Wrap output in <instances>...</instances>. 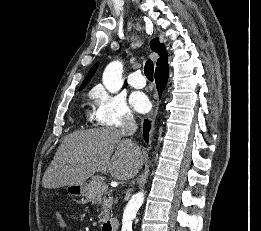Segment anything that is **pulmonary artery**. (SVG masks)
<instances>
[{
    "label": "pulmonary artery",
    "instance_id": "1",
    "mask_svg": "<svg viewBox=\"0 0 261 231\" xmlns=\"http://www.w3.org/2000/svg\"><path fill=\"white\" fill-rule=\"evenodd\" d=\"M128 83L133 88L141 89V88L145 87L146 80L140 71H134L129 75Z\"/></svg>",
    "mask_w": 261,
    "mask_h": 231
}]
</instances>
